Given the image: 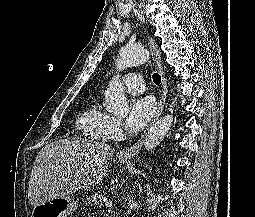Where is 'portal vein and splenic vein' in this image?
I'll use <instances>...</instances> for the list:
<instances>
[{
	"label": "portal vein and splenic vein",
	"instance_id": "portal-vein-and-splenic-vein-1",
	"mask_svg": "<svg viewBox=\"0 0 255 217\" xmlns=\"http://www.w3.org/2000/svg\"><path fill=\"white\" fill-rule=\"evenodd\" d=\"M105 205H106L107 207H111V206H112V201H110V200H105Z\"/></svg>",
	"mask_w": 255,
	"mask_h": 217
}]
</instances>
